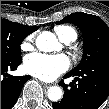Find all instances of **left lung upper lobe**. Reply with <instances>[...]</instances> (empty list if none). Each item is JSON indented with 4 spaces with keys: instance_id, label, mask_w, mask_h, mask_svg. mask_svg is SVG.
I'll list each match as a JSON object with an SVG mask.
<instances>
[{
    "instance_id": "1",
    "label": "left lung upper lobe",
    "mask_w": 109,
    "mask_h": 109,
    "mask_svg": "<svg viewBox=\"0 0 109 109\" xmlns=\"http://www.w3.org/2000/svg\"><path fill=\"white\" fill-rule=\"evenodd\" d=\"M60 22L75 24L83 34L82 59L71 73L79 72L92 63L109 60V27L101 18L77 12L66 16ZM76 94H78L77 91L74 92V95Z\"/></svg>"
}]
</instances>
